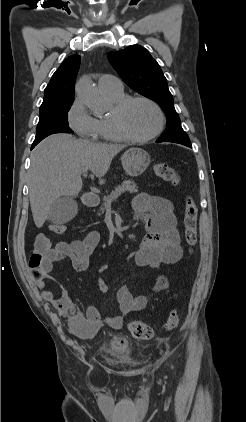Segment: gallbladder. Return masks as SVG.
Segmentation results:
<instances>
[{
  "label": "gallbladder",
  "instance_id": "bac80fb5",
  "mask_svg": "<svg viewBox=\"0 0 246 422\" xmlns=\"http://www.w3.org/2000/svg\"><path fill=\"white\" fill-rule=\"evenodd\" d=\"M78 211V204L73 197L61 196L52 204L48 220L54 224L61 225L73 219Z\"/></svg>",
  "mask_w": 246,
  "mask_h": 422
}]
</instances>
